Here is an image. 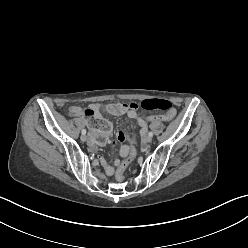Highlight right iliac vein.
<instances>
[{
    "label": "right iliac vein",
    "mask_w": 248,
    "mask_h": 248,
    "mask_svg": "<svg viewBox=\"0 0 248 248\" xmlns=\"http://www.w3.org/2000/svg\"><path fill=\"white\" fill-rule=\"evenodd\" d=\"M80 139H81L82 142H86L87 136L86 135H81Z\"/></svg>",
    "instance_id": "1"
}]
</instances>
